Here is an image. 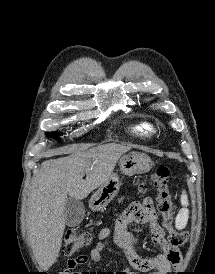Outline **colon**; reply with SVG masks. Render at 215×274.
Instances as JSON below:
<instances>
[{"label": "colon", "instance_id": "obj_1", "mask_svg": "<svg viewBox=\"0 0 215 274\" xmlns=\"http://www.w3.org/2000/svg\"><path fill=\"white\" fill-rule=\"evenodd\" d=\"M170 170L165 164H159L153 175V182L157 189L158 208L163 216V224L169 232L168 241L174 246H182L187 242V235L183 231L174 228V202L169 189ZM146 185H140V191L146 189ZM90 235L87 232L68 230L62 252L65 256H71L88 245Z\"/></svg>", "mask_w": 215, "mask_h": 274}]
</instances>
